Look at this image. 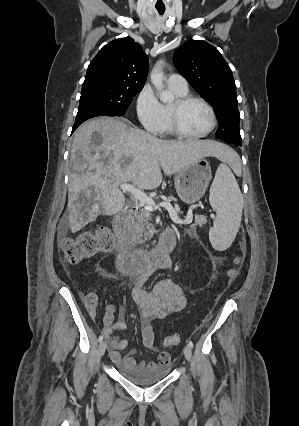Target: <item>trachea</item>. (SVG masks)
<instances>
[{"mask_svg":"<svg viewBox=\"0 0 299 426\" xmlns=\"http://www.w3.org/2000/svg\"><path fill=\"white\" fill-rule=\"evenodd\" d=\"M157 11L160 15H163L165 12V8H157Z\"/></svg>","mask_w":299,"mask_h":426,"instance_id":"1","label":"trachea"}]
</instances>
